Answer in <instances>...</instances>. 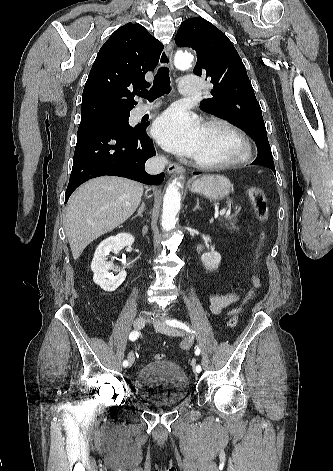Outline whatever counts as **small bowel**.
Masks as SVG:
<instances>
[{"label":"small bowel","mask_w":333,"mask_h":471,"mask_svg":"<svg viewBox=\"0 0 333 471\" xmlns=\"http://www.w3.org/2000/svg\"><path fill=\"white\" fill-rule=\"evenodd\" d=\"M251 284L254 287L261 285L260 279L257 276L252 277ZM241 300V295L237 292H229L225 294H210L208 297L209 309L213 314H226L234 315L237 314L240 309L232 307V305L238 303Z\"/></svg>","instance_id":"1"}]
</instances>
